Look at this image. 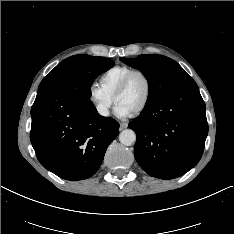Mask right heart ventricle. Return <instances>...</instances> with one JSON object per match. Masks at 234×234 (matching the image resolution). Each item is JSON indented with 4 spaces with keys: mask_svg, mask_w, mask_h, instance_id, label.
Here are the masks:
<instances>
[{
    "mask_svg": "<svg viewBox=\"0 0 234 234\" xmlns=\"http://www.w3.org/2000/svg\"><path fill=\"white\" fill-rule=\"evenodd\" d=\"M134 69L128 66L117 65L107 69L99 77V86L109 96L113 94L123 79Z\"/></svg>",
    "mask_w": 234,
    "mask_h": 234,
    "instance_id": "right-heart-ventricle-1",
    "label": "right heart ventricle"
}]
</instances>
